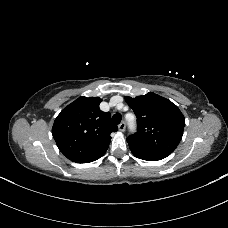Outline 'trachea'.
<instances>
[{
  "mask_svg": "<svg viewBox=\"0 0 228 228\" xmlns=\"http://www.w3.org/2000/svg\"><path fill=\"white\" fill-rule=\"evenodd\" d=\"M122 116L120 114H114L112 117L113 123L118 125L121 122Z\"/></svg>",
  "mask_w": 228,
  "mask_h": 228,
  "instance_id": "obj_1",
  "label": "trachea"
}]
</instances>
